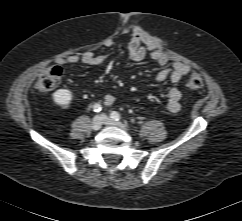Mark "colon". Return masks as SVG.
<instances>
[{
  "label": "colon",
  "mask_w": 242,
  "mask_h": 221,
  "mask_svg": "<svg viewBox=\"0 0 242 221\" xmlns=\"http://www.w3.org/2000/svg\"><path fill=\"white\" fill-rule=\"evenodd\" d=\"M62 78V69L59 66H52L43 71L36 82V88L40 93L52 91ZM203 80L199 73L193 72L188 79V87L198 89L202 87Z\"/></svg>",
  "instance_id": "1"
}]
</instances>
